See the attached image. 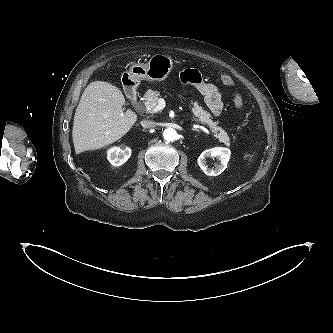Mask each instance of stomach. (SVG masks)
<instances>
[{"label":"stomach","instance_id":"0dacf381","mask_svg":"<svg viewBox=\"0 0 333 333\" xmlns=\"http://www.w3.org/2000/svg\"><path fill=\"white\" fill-rule=\"evenodd\" d=\"M173 68L171 57L164 54H155L151 56L146 64L134 63L125 73V77L137 86L142 80L146 81H163Z\"/></svg>","mask_w":333,"mask_h":333}]
</instances>
